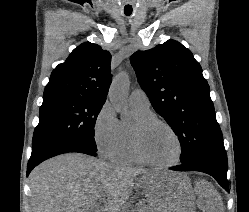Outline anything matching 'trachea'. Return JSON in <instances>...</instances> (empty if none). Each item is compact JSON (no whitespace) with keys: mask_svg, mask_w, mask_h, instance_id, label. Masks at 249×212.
Returning <instances> with one entry per match:
<instances>
[{"mask_svg":"<svg viewBox=\"0 0 249 212\" xmlns=\"http://www.w3.org/2000/svg\"><path fill=\"white\" fill-rule=\"evenodd\" d=\"M125 15H131L130 13H126Z\"/></svg>","mask_w":249,"mask_h":212,"instance_id":"trachea-1","label":"trachea"}]
</instances>
